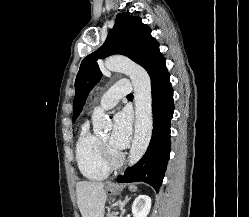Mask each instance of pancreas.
<instances>
[{
  "mask_svg": "<svg viewBox=\"0 0 249 217\" xmlns=\"http://www.w3.org/2000/svg\"><path fill=\"white\" fill-rule=\"evenodd\" d=\"M107 217H116V216L114 214H112V213H108Z\"/></svg>",
  "mask_w": 249,
  "mask_h": 217,
  "instance_id": "pancreas-1",
  "label": "pancreas"
}]
</instances>
